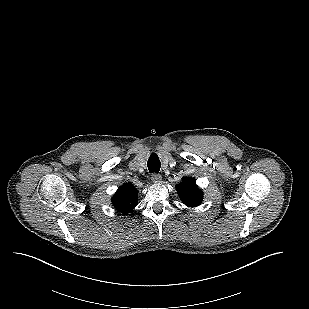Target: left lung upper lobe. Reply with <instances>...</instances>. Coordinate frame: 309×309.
Segmentation results:
<instances>
[{
  "label": "left lung upper lobe",
  "mask_w": 309,
  "mask_h": 309,
  "mask_svg": "<svg viewBox=\"0 0 309 309\" xmlns=\"http://www.w3.org/2000/svg\"><path fill=\"white\" fill-rule=\"evenodd\" d=\"M176 191L186 206L196 207L202 202L203 192L196 185L194 178H186L180 182L176 187Z\"/></svg>",
  "instance_id": "left-lung-upper-lobe-1"
}]
</instances>
